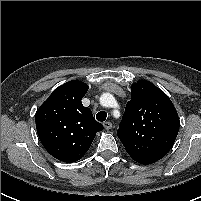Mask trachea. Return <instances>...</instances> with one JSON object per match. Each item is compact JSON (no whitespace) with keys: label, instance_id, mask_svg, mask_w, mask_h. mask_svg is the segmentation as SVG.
Returning <instances> with one entry per match:
<instances>
[{"label":"trachea","instance_id":"obj_1","mask_svg":"<svg viewBox=\"0 0 201 201\" xmlns=\"http://www.w3.org/2000/svg\"><path fill=\"white\" fill-rule=\"evenodd\" d=\"M107 118V113L105 111H100L97 113L96 115V119L100 122H103L105 121Z\"/></svg>","mask_w":201,"mask_h":201}]
</instances>
